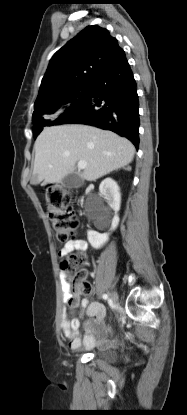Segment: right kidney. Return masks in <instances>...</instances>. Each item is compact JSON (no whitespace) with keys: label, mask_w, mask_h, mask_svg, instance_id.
I'll return each mask as SVG.
<instances>
[{"label":"right kidney","mask_w":187,"mask_h":415,"mask_svg":"<svg viewBox=\"0 0 187 415\" xmlns=\"http://www.w3.org/2000/svg\"><path fill=\"white\" fill-rule=\"evenodd\" d=\"M100 194L107 201L110 208L115 211L112 219L111 230H115L119 224L118 211L120 209L121 194L118 184L112 178L104 179L99 186ZM88 241L95 249L101 248L109 239V233H99L93 230L87 231Z\"/></svg>","instance_id":"obj_1"}]
</instances>
